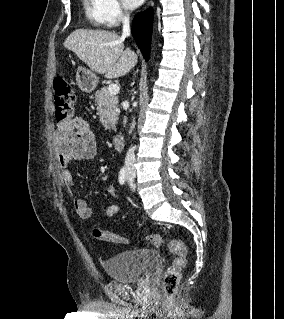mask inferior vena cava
I'll return each instance as SVG.
<instances>
[{"mask_svg": "<svg viewBox=\"0 0 284 319\" xmlns=\"http://www.w3.org/2000/svg\"><path fill=\"white\" fill-rule=\"evenodd\" d=\"M122 23H123L122 37L126 38L127 36H130V33H131L128 13H126L122 17ZM134 161H135L134 148H129L125 158L126 170H134Z\"/></svg>", "mask_w": 284, "mask_h": 319, "instance_id": "inferior-vena-cava-1", "label": "inferior vena cava"}]
</instances>
